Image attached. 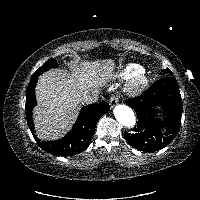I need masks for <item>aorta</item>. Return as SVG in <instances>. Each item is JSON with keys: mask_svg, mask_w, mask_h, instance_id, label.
Here are the masks:
<instances>
[{"mask_svg": "<svg viewBox=\"0 0 200 200\" xmlns=\"http://www.w3.org/2000/svg\"><path fill=\"white\" fill-rule=\"evenodd\" d=\"M114 116L116 120L127 128H133L136 124V117L133 110L124 104L117 105L114 108Z\"/></svg>", "mask_w": 200, "mask_h": 200, "instance_id": "1", "label": "aorta"}]
</instances>
